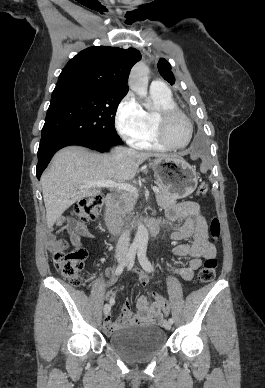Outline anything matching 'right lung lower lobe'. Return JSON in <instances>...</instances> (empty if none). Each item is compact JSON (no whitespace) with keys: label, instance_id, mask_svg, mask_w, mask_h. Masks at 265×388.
Listing matches in <instances>:
<instances>
[{"label":"right lung lower lobe","instance_id":"98d812e1","mask_svg":"<svg viewBox=\"0 0 265 388\" xmlns=\"http://www.w3.org/2000/svg\"><path fill=\"white\" fill-rule=\"evenodd\" d=\"M69 145L84 146L99 152L108 151L111 146L96 144L82 136L78 135H58L41 141L38 149V164L36 168V176L40 179V176L44 169L47 167L53 155L61 148Z\"/></svg>","mask_w":265,"mask_h":388}]
</instances>
